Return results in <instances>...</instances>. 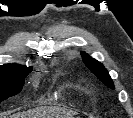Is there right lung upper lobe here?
I'll return each instance as SVG.
<instances>
[{
    "label": "right lung upper lobe",
    "instance_id": "obj_1",
    "mask_svg": "<svg viewBox=\"0 0 133 118\" xmlns=\"http://www.w3.org/2000/svg\"><path fill=\"white\" fill-rule=\"evenodd\" d=\"M25 66H21L18 64H5L3 66H0V69H16V68H24ZM27 68V67H25ZM32 68V67H29Z\"/></svg>",
    "mask_w": 133,
    "mask_h": 118
}]
</instances>
